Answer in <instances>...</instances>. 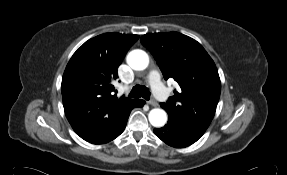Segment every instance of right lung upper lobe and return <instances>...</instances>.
Masks as SVG:
<instances>
[{"label": "right lung upper lobe", "instance_id": "right-lung-upper-lobe-1", "mask_svg": "<svg viewBox=\"0 0 287 175\" xmlns=\"http://www.w3.org/2000/svg\"><path fill=\"white\" fill-rule=\"evenodd\" d=\"M138 35L106 33L85 42L62 78L66 117L74 131L93 142L111 131L139 100L113 95L117 68Z\"/></svg>", "mask_w": 287, "mask_h": 175}]
</instances>
